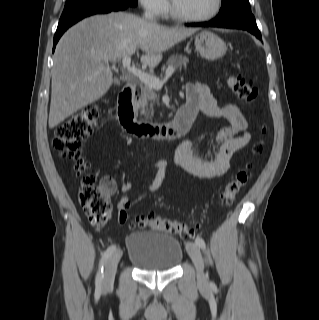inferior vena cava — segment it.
Returning <instances> with one entry per match:
<instances>
[{
	"label": "inferior vena cava",
	"mask_w": 319,
	"mask_h": 320,
	"mask_svg": "<svg viewBox=\"0 0 319 320\" xmlns=\"http://www.w3.org/2000/svg\"><path fill=\"white\" fill-rule=\"evenodd\" d=\"M144 18L152 21L154 18V15L149 9H146L144 13Z\"/></svg>",
	"instance_id": "inferior-vena-cava-1"
}]
</instances>
